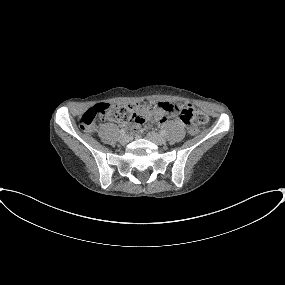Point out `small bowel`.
<instances>
[{
    "label": "small bowel",
    "instance_id": "c3829d8e",
    "mask_svg": "<svg viewBox=\"0 0 285 285\" xmlns=\"http://www.w3.org/2000/svg\"><path fill=\"white\" fill-rule=\"evenodd\" d=\"M153 104H154V109L150 113L143 115L136 120L135 123L136 128L142 130L144 128L145 121L149 119H152L159 124H165L169 120V118L176 117V114L171 110V108L174 105L173 103L168 101H163V102H156ZM178 123L181 126L187 127V129L191 133H195L197 131V129L194 126L186 124L181 120H178Z\"/></svg>",
    "mask_w": 285,
    "mask_h": 285
}]
</instances>
